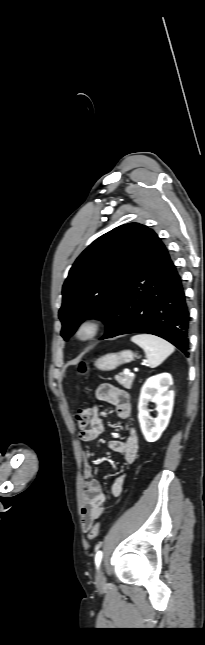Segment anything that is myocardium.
Segmentation results:
<instances>
[{
    "mask_svg": "<svg viewBox=\"0 0 205 645\" xmlns=\"http://www.w3.org/2000/svg\"><path fill=\"white\" fill-rule=\"evenodd\" d=\"M100 331V323L94 318L83 320L75 331V336L79 341L87 342L93 340Z\"/></svg>",
    "mask_w": 205,
    "mask_h": 645,
    "instance_id": "1",
    "label": "myocardium"
}]
</instances>
